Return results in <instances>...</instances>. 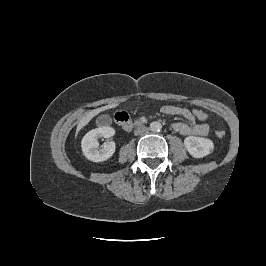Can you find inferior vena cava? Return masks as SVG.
Returning <instances> with one entry per match:
<instances>
[{"label":"inferior vena cava","mask_w":266,"mask_h":266,"mask_svg":"<svg viewBox=\"0 0 266 266\" xmlns=\"http://www.w3.org/2000/svg\"><path fill=\"white\" fill-rule=\"evenodd\" d=\"M148 128L147 127H141V128H138L137 130H135V134L136 135H141V134H145L148 132Z\"/></svg>","instance_id":"inferior-vena-cava-1"}]
</instances>
